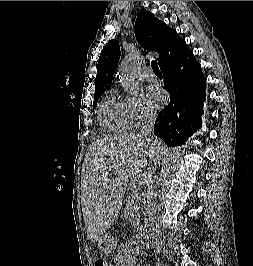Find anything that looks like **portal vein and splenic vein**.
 Wrapping results in <instances>:
<instances>
[{"instance_id": "18ae733b", "label": "portal vein and splenic vein", "mask_w": 253, "mask_h": 266, "mask_svg": "<svg viewBox=\"0 0 253 266\" xmlns=\"http://www.w3.org/2000/svg\"><path fill=\"white\" fill-rule=\"evenodd\" d=\"M132 192L136 194L138 192V189L134 186Z\"/></svg>"}]
</instances>
